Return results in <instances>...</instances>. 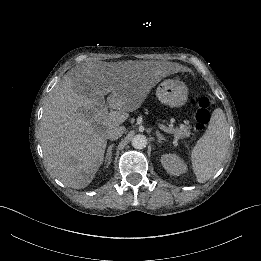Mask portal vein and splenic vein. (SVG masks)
<instances>
[{
    "label": "portal vein and splenic vein",
    "instance_id": "portal-vein-and-splenic-vein-1",
    "mask_svg": "<svg viewBox=\"0 0 261 261\" xmlns=\"http://www.w3.org/2000/svg\"><path fill=\"white\" fill-rule=\"evenodd\" d=\"M161 128L167 132H170L169 129H166L164 126H161ZM172 147H177L178 146V138L175 137L174 140L171 141Z\"/></svg>",
    "mask_w": 261,
    "mask_h": 261
}]
</instances>
